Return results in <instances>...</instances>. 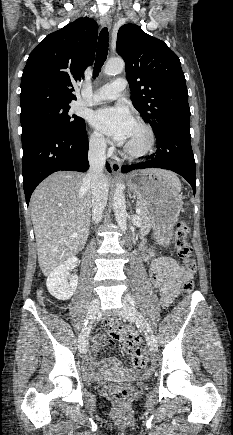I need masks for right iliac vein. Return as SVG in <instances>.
<instances>
[{"mask_svg":"<svg viewBox=\"0 0 233 435\" xmlns=\"http://www.w3.org/2000/svg\"><path fill=\"white\" fill-rule=\"evenodd\" d=\"M99 305L100 302L97 298L93 299L89 305V309H88V313H87V318L92 322L99 310ZM91 326H88L87 328H85V330L83 331V333L81 334L80 338H79V350L81 353H85L87 348H88V335H89V331H90Z\"/></svg>","mask_w":233,"mask_h":435,"instance_id":"right-iliac-vein-1","label":"right iliac vein"}]
</instances>
